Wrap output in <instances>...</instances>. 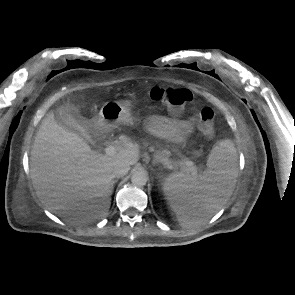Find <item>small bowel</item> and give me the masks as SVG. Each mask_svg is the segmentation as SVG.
I'll return each instance as SVG.
<instances>
[{"mask_svg": "<svg viewBox=\"0 0 295 295\" xmlns=\"http://www.w3.org/2000/svg\"><path fill=\"white\" fill-rule=\"evenodd\" d=\"M193 125V118L182 120L164 116H154L149 120V127L154 133L172 141H181L188 136L193 130Z\"/></svg>", "mask_w": 295, "mask_h": 295, "instance_id": "1", "label": "small bowel"}]
</instances>
